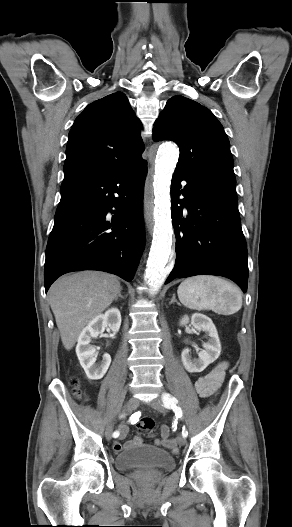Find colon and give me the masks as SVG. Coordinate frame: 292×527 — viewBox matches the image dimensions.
<instances>
[{"instance_id":"obj_1","label":"colon","mask_w":292,"mask_h":527,"mask_svg":"<svg viewBox=\"0 0 292 527\" xmlns=\"http://www.w3.org/2000/svg\"><path fill=\"white\" fill-rule=\"evenodd\" d=\"M70 384L73 388V392L77 397L81 396V390L79 386V381L77 378H71ZM137 427L139 431L141 432H149L154 428V420L150 417H145L140 420V422L137 424Z\"/></svg>"}]
</instances>
